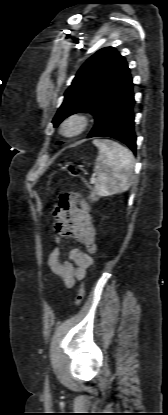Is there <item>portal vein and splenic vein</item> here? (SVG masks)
Instances as JSON below:
<instances>
[{"label": "portal vein and splenic vein", "instance_id": "portal-vein-and-splenic-vein-1", "mask_svg": "<svg viewBox=\"0 0 168 415\" xmlns=\"http://www.w3.org/2000/svg\"><path fill=\"white\" fill-rule=\"evenodd\" d=\"M90 181H91V183H95V178H94V177H92V178L90 179Z\"/></svg>", "mask_w": 168, "mask_h": 415}]
</instances>
